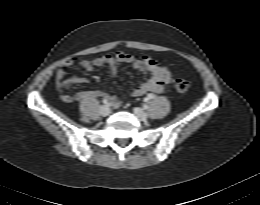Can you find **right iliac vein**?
<instances>
[{
    "label": "right iliac vein",
    "instance_id": "63e3f726",
    "mask_svg": "<svg viewBox=\"0 0 260 205\" xmlns=\"http://www.w3.org/2000/svg\"><path fill=\"white\" fill-rule=\"evenodd\" d=\"M100 114L103 117H106L110 114V108L107 105H104L100 108Z\"/></svg>",
    "mask_w": 260,
    "mask_h": 205
}]
</instances>
